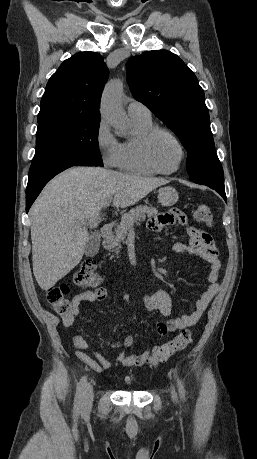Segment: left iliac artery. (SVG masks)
<instances>
[{
	"instance_id": "1",
	"label": "left iliac artery",
	"mask_w": 257,
	"mask_h": 459,
	"mask_svg": "<svg viewBox=\"0 0 257 459\" xmlns=\"http://www.w3.org/2000/svg\"><path fill=\"white\" fill-rule=\"evenodd\" d=\"M177 382H178L179 392H180L181 396L184 397V396H185L184 385H183V383L179 380V378H177Z\"/></svg>"
}]
</instances>
